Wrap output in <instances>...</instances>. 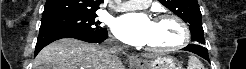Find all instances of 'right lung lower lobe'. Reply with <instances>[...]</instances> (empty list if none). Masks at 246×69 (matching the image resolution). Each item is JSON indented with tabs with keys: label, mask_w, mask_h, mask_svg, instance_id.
<instances>
[{
	"label": "right lung lower lobe",
	"mask_w": 246,
	"mask_h": 69,
	"mask_svg": "<svg viewBox=\"0 0 246 69\" xmlns=\"http://www.w3.org/2000/svg\"><path fill=\"white\" fill-rule=\"evenodd\" d=\"M107 36L108 33L106 29H101L96 32H83L79 30L68 29L41 30L39 32L37 44L35 47V55H37L43 47L58 39L76 38L90 43H100L103 42Z\"/></svg>",
	"instance_id": "98d812e1"
}]
</instances>
